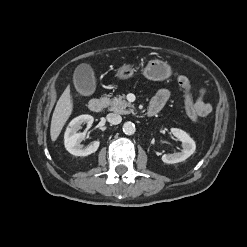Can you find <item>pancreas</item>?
Wrapping results in <instances>:
<instances>
[{
  "mask_svg": "<svg viewBox=\"0 0 247 247\" xmlns=\"http://www.w3.org/2000/svg\"><path fill=\"white\" fill-rule=\"evenodd\" d=\"M110 111L119 114H129L134 112V106L124 99V96L114 97L110 100Z\"/></svg>",
  "mask_w": 247,
  "mask_h": 247,
  "instance_id": "obj_1",
  "label": "pancreas"
}]
</instances>
